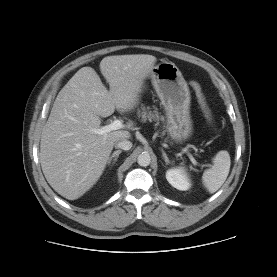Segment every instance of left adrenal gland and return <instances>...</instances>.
Listing matches in <instances>:
<instances>
[{
	"instance_id": "a2214340",
	"label": "left adrenal gland",
	"mask_w": 277,
	"mask_h": 277,
	"mask_svg": "<svg viewBox=\"0 0 277 277\" xmlns=\"http://www.w3.org/2000/svg\"><path fill=\"white\" fill-rule=\"evenodd\" d=\"M162 151V155H163V158H164V161L166 162V165L170 164L171 161L169 160V158L167 157L165 151L163 149H161Z\"/></svg>"
}]
</instances>
